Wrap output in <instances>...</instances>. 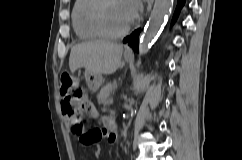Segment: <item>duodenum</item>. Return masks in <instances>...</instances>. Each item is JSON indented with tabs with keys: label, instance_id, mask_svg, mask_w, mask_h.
<instances>
[{
	"label": "duodenum",
	"instance_id": "duodenum-1",
	"mask_svg": "<svg viewBox=\"0 0 242 160\" xmlns=\"http://www.w3.org/2000/svg\"><path fill=\"white\" fill-rule=\"evenodd\" d=\"M103 122H104L105 128L107 129H113L116 125L115 119L112 117L104 118Z\"/></svg>",
	"mask_w": 242,
	"mask_h": 160
}]
</instances>
